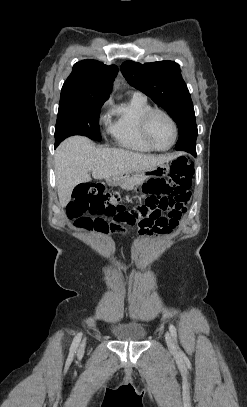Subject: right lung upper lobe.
I'll return each mask as SVG.
<instances>
[{
    "label": "right lung upper lobe",
    "mask_w": 247,
    "mask_h": 407,
    "mask_svg": "<svg viewBox=\"0 0 247 407\" xmlns=\"http://www.w3.org/2000/svg\"><path fill=\"white\" fill-rule=\"evenodd\" d=\"M117 73L116 65L96 60L77 62L63 84L60 101L107 100Z\"/></svg>",
    "instance_id": "right-lung-upper-lobe-1"
}]
</instances>
